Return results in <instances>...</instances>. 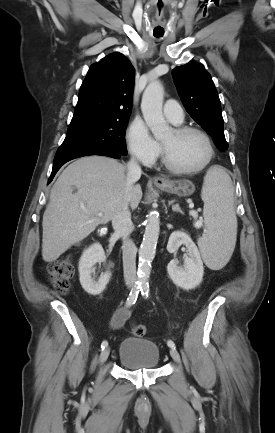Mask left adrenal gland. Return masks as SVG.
<instances>
[{
  "instance_id": "obj_1",
  "label": "left adrenal gland",
  "mask_w": 275,
  "mask_h": 433,
  "mask_svg": "<svg viewBox=\"0 0 275 433\" xmlns=\"http://www.w3.org/2000/svg\"><path fill=\"white\" fill-rule=\"evenodd\" d=\"M172 210H173L174 212H180V213H182V211H181V209H180V207H179L178 204H176V205H172Z\"/></svg>"
}]
</instances>
